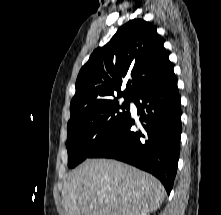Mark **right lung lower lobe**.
Here are the masks:
<instances>
[{
    "label": "right lung lower lobe",
    "mask_w": 221,
    "mask_h": 215,
    "mask_svg": "<svg viewBox=\"0 0 221 215\" xmlns=\"http://www.w3.org/2000/svg\"><path fill=\"white\" fill-rule=\"evenodd\" d=\"M140 116L137 129L129 113L87 158H113L156 176L169 194L177 171L181 103L174 72L132 99Z\"/></svg>",
    "instance_id": "obj_1"
}]
</instances>
